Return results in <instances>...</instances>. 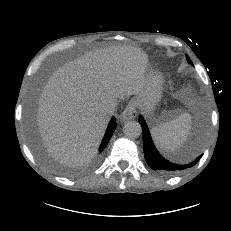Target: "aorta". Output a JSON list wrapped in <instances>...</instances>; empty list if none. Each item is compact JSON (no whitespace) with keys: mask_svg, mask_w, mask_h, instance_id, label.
Returning <instances> with one entry per match:
<instances>
[{"mask_svg":"<svg viewBox=\"0 0 231 231\" xmlns=\"http://www.w3.org/2000/svg\"><path fill=\"white\" fill-rule=\"evenodd\" d=\"M123 133L127 138L134 139L141 135L142 127L137 121H128L123 127Z\"/></svg>","mask_w":231,"mask_h":231,"instance_id":"1","label":"aorta"}]
</instances>
